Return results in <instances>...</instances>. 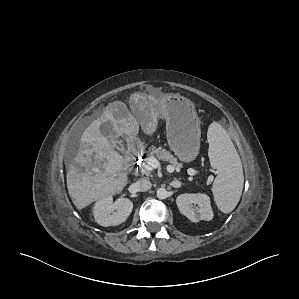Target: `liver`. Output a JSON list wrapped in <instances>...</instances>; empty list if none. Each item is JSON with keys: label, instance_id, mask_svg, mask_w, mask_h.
Here are the masks:
<instances>
[{"label": "liver", "instance_id": "liver-1", "mask_svg": "<svg viewBox=\"0 0 299 299\" xmlns=\"http://www.w3.org/2000/svg\"><path fill=\"white\" fill-rule=\"evenodd\" d=\"M140 106H144V101ZM106 122L112 123L114 137H135L139 124L147 134L157 129V115L152 109L138 113L120 101L106 107L83 132L77 155L67 167L68 193L78 210L121 192L128 183L127 174L121 173L124 158L100 131Z\"/></svg>", "mask_w": 299, "mask_h": 299}]
</instances>
